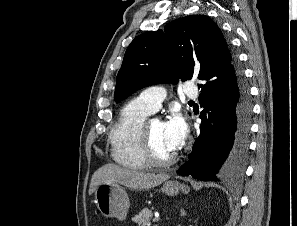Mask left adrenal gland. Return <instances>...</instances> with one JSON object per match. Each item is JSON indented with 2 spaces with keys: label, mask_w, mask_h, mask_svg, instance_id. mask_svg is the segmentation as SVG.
Here are the masks:
<instances>
[{
  "label": "left adrenal gland",
  "mask_w": 297,
  "mask_h": 226,
  "mask_svg": "<svg viewBox=\"0 0 297 226\" xmlns=\"http://www.w3.org/2000/svg\"><path fill=\"white\" fill-rule=\"evenodd\" d=\"M186 212L184 211V209H181V216H185Z\"/></svg>",
  "instance_id": "obj_1"
}]
</instances>
